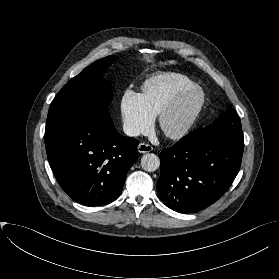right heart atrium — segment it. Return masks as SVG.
I'll use <instances>...</instances> for the list:
<instances>
[{"instance_id": "obj_1", "label": "right heart atrium", "mask_w": 279, "mask_h": 279, "mask_svg": "<svg viewBox=\"0 0 279 279\" xmlns=\"http://www.w3.org/2000/svg\"><path fill=\"white\" fill-rule=\"evenodd\" d=\"M119 109L123 130L127 135L136 137L150 129L154 116L148 110L141 94L132 90L124 91Z\"/></svg>"}]
</instances>
